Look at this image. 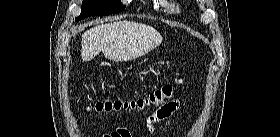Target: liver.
Segmentation results:
<instances>
[{
	"instance_id": "liver-1",
	"label": "liver",
	"mask_w": 280,
	"mask_h": 137,
	"mask_svg": "<svg viewBox=\"0 0 280 137\" xmlns=\"http://www.w3.org/2000/svg\"><path fill=\"white\" fill-rule=\"evenodd\" d=\"M162 41L160 33L149 25L117 21L85 31L81 41V57L83 62H87L102 51L109 60L129 61L149 53Z\"/></svg>"
}]
</instances>
